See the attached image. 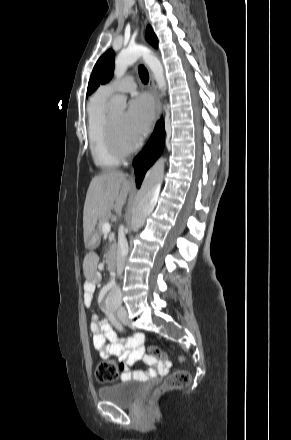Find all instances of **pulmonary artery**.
<instances>
[{"label":"pulmonary artery","instance_id":"1","mask_svg":"<svg viewBox=\"0 0 291 440\" xmlns=\"http://www.w3.org/2000/svg\"><path fill=\"white\" fill-rule=\"evenodd\" d=\"M137 88V80L134 76H126L118 82L102 85L98 90L103 96L109 97L115 92L130 93Z\"/></svg>","mask_w":291,"mask_h":440}]
</instances>
